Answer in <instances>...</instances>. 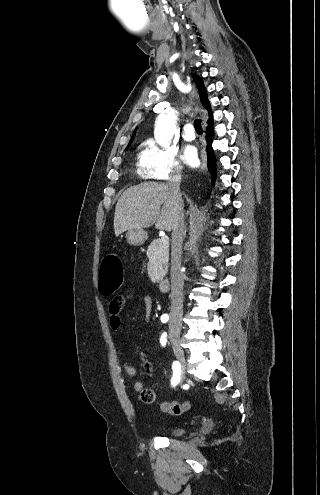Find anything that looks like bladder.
Returning <instances> with one entry per match:
<instances>
[{"mask_svg":"<svg viewBox=\"0 0 320 495\" xmlns=\"http://www.w3.org/2000/svg\"><path fill=\"white\" fill-rule=\"evenodd\" d=\"M185 430L183 427H170L163 429V432L171 436H178L183 434Z\"/></svg>","mask_w":320,"mask_h":495,"instance_id":"31cf9c89","label":"bladder"}]
</instances>
